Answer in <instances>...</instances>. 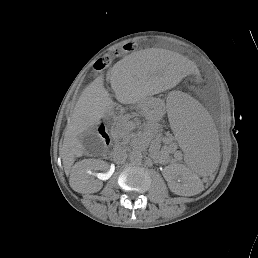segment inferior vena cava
<instances>
[{
    "label": "inferior vena cava",
    "mask_w": 258,
    "mask_h": 258,
    "mask_svg": "<svg viewBox=\"0 0 258 258\" xmlns=\"http://www.w3.org/2000/svg\"><path fill=\"white\" fill-rule=\"evenodd\" d=\"M127 158V154L124 150H119L114 154V160L117 163H123Z\"/></svg>",
    "instance_id": "1"
}]
</instances>
